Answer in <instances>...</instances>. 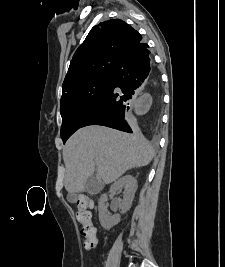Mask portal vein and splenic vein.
Returning <instances> with one entry per match:
<instances>
[{"label": "portal vein and splenic vein", "instance_id": "1", "mask_svg": "<svg viewBox=\"0 0 225 267\" xmlns=\"http://www.w3.org/2000/svg\"><path fill=\"white\" fill-rule=\"evenodd\" d=\"M95 162L97 163V162H98V160L96 159V160H95Z\"/></svg>", "mask_w": 225, "mask_h": 267}]
</instances>
